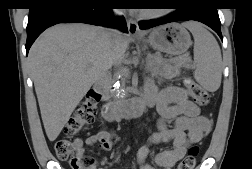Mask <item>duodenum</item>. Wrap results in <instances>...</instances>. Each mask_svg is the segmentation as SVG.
Listing matches in <instances>:
<instances>
[{"instance_id": "duodenum-1", "label": "duodenum", "mask_w": 252, "mask_h": 169, "mask_svg": "<svg viewBox=\"0 0 252 169\" xmlns=\"http://www.w3.org/2000/svg\"><path fill=\"white\" fill-rule=\"evenodd\" d=\"M95 91H97L103 99L108 97L107 87L104 81L98 80L94 85ZM154 100L151 97L142 96L136 100H131L123 103H107L102 110V116L107 122H116L126 118L138 117L151 107Z\"/></svg>"}]
</instances>
